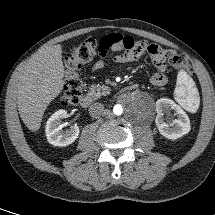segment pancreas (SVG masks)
Segmentation results:
<instances>
[{
	"instance_id": "obj_1",
	"label": "pancreas",
	"mask_w": 215,
	"mask_h": 215,
	"mask_svg": "<svg viewBox=\"0 0 215 215\" xmlns=\"http://www.w3.org/2000/svg\"><path fill=\"white\" fill-rule=\"evenodd\" d=\"M110 93V88L105 85H93L89 90V95L94 98H99Z\"/></svg>"
}]
</instances>
